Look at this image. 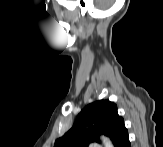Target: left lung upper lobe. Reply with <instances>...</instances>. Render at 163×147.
<instances>
[{
	"label": "left lung upper lobe",
	"instance_id": "left-lung-upper-lobe-1",
	"mask_svg": "<svg viewBox=\"0 0 163 147\" xmlns=\"http://www.w3.org/2000/svg\"><path fill=\"white\" fill-rule=\"evenodd\" d=\"M124 120L117 106L109 100H99L87 105L77 116L73 127L55 141V147H88L100 142L98 134L109 136L113 144L124 130Z\"/></svg>",
	"mask_w": 163,
	"mask_h": 147
}]
</instances>
